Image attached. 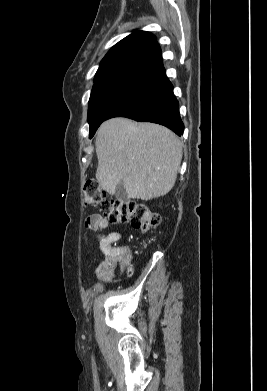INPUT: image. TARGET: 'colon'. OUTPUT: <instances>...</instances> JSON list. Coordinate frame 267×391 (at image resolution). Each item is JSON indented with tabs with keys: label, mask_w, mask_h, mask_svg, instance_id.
Instances as JSON below:
<instances>
[{
	"label": "colon",
	"mask_w": 267,
	"mask_h": 391,
	"mask_svg": "<svg viewBox=\"0 0 267 391\" xmlns=\"http://www.w3.org/2000/svg\"><path fill=\"white\" fill-rule=\"evenodd\" d=\"M82 199L86 207L100 210L110 223L129 224L147 233L155 229L160 222L158 214L146 204L109 198L99 183L94 180L85 183ZM121 265L126 269L130 267L129 255L121 259Z\"/></svg>",
	"instance_id": "5ec220e1"
}]
</instances>
